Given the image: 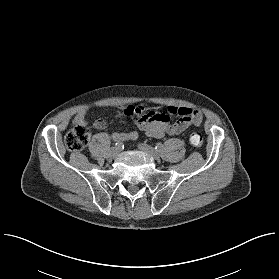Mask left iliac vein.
<instances>
[{"mask_svg": "<svg viewBox=\"0 0 279 279\" xmlns=\"http://www.w3.org/2000/svg\"><path fill=\"white\" fill-rule=\"evenodd\" d=\"M138 149L146 154H148L150 157L153 159H159L160 155L159 153L151 146L146 145V144H139Z\"/></svg>", "mask_w": 279, "mask_h": 279, "instance_id": "left-iliac-vein-1", "label": "left iliac vein"}]
</instances>
